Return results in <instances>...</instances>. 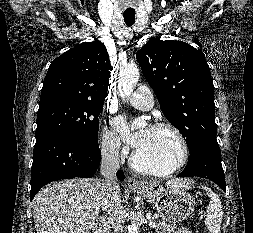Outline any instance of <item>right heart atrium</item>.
Instances as JSON below:
<instances>
[{"label": "right heart atrium", "mask_w": 253, "mask_h": 233, "mask_svg": "<svg viewBox=\"0 0 253 233\" xmlns=\"http://www.w3.org/2000/svg\"><path fill=\"white\" fill-rule=\"evenodd\" d=\"M101 150L105 155L112 158H119L126 152V148L117 133L107 127L104 128L102 133Z\"/></svg>", "instance_id": "1"}]
</instances>
